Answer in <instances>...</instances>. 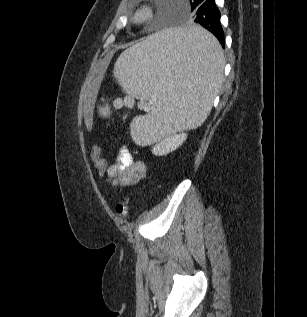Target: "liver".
I'll return each instance as SVG.
<instances>
[{
  "label": "liver",
  "mask_w": 307,
  "mask_h": 317,
  "mask_svg": "<svg viewBox=\"0 0 307 317\" xmlns=\"http://www.w3.org/2000/svg\"><path fill=\"white\" fill-rule=\"evenodd\" d=\"M111 58L106 56L102 63L100 64V67L95 68V74H90V80L87 82V89L88 93L86 96V100L84 102V113L83 118L87 119V123L89 124L91 121L90 119L94 118L93 108L95 107V104H97L98 101V95L100 89H102V78L104 77V74L106 73L107 66L109 65V60Z\"/></svg>",
  "instance_id": "1"
}]
</instances>
